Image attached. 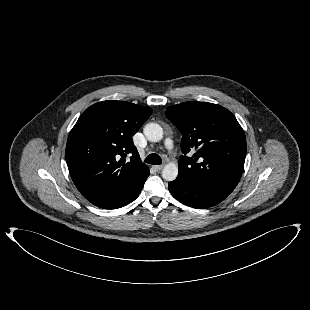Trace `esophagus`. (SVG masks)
I'll return each mask as SVG.
<instances>
[{"label":"esophagus","mask_w":310,"mask_h":310,"mask_svg":"<svg viewBox=\"0 0 310 310\" xmlns=\"http://www.w3.org/2000/svg\"><path fill=\"white\" fill-rule=\"evenodd\" d=\"M163 167H164V165H155L154 169L159 172L163 169Z\"/></svg>","instance_id":"esophagus-1"}]
</instances>
